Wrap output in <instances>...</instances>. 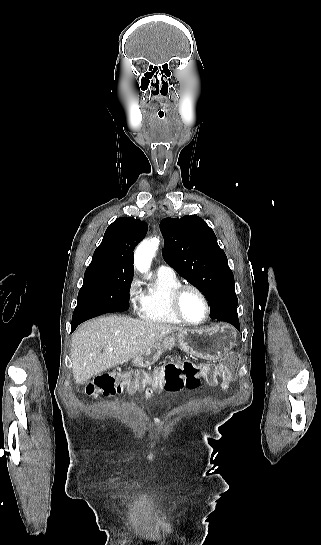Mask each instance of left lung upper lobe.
I'll return each instance as SVG.
<instances>
[{"mask_svg": "<svg viewBox=\"0 0 321 545\" xmlns=\"http://www.w3.org/2000/svg\"><path fill=\"white\" fill-rule=\"evenodd\" d=\"M160 229L165 241L164 260L204 294L210 312L237 307L233 273L206 222L195 215L165 218Z\"/></svg>", "mask_w": 321, "mask_h": 545, "instance_id": "1", "label": "left lung upper lobe"}]
</instances>
